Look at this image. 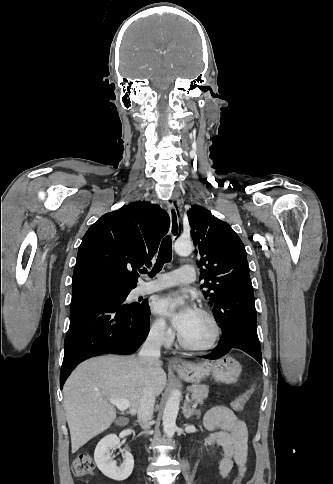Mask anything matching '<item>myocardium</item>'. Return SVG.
<instances>
[{"label":"myocardium","mask_w":333,"mask_h":484,"mask_svg":"<svg viewBox=\"0 0 333 484\" xmlns=\"http://www.w3.org/2000/svg\"><path fill=\"white\" fill-rule=\"evenodd\" d=\"M195 311L200 313L201 315L205 316L209 320V322L211 323L212 329H213V334H212L211 339L209 340L208 343H206L204 345L196 346V345H192V344L186 342L182 338L180 333H178V342H179V344L182 348H184L188 351H192V352H196V353H205V352L212 350L215 347V345L218 342L220 335H221V328H220L218 320L213 315V313H211L209 310L199 307Z\"/></svg>","instance_id":"f54148a6"}]
</instances>
